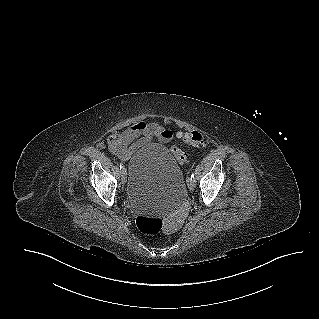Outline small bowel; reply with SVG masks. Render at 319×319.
Masks as SVG:
<instances>
[{
	"instance_id": "1",
	"label": "small bowel",
	"mask_w": 319,
	"mask_h": 319,
	"mask_svg": "<svg viewBox=\"0 0 319 319\" xmlns=\"http://www.w3.org/2000/svg\"><path fill=\"white\" fill-rule=\"evenodd\" d=\"M172 137V131L160 124L140 120L122 132L110 133L107 145L113 155L122 161H127L151 140L155 139L161 143H167Z\"/></svg>"
}]
</instances>
